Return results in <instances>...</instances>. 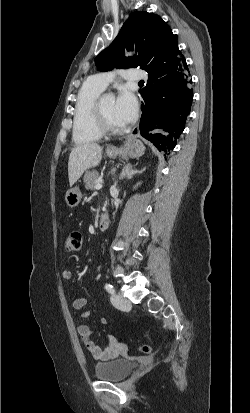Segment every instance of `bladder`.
I'll return each instance as SVG.
<instances>
[{
	"label": "bladder",
	"mask_w": 250,
	"mask_h": 413,
	"mask_svg": "<svg viewBox=\"0 0 250 413\" xmlns=\"http://www.w3.org/2000/svg\"><path fill=\"white\" fill-rule=\"evenodd\" d=\"M134 369L132 361L126 358H117L107 362H100L94 366L95 377L105 381H121Z\"/></svg>",
	"instance_id": "1"
}]
</instances>
